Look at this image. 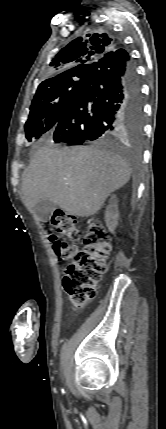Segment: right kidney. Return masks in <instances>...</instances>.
Listing matches in <instances>:
<instances>
[{
	"mask_svg": "<svg viewBox=\"0 0 166 429\" xmlns=\"http://www.w3.org/2000/svg\"><path fill=\"white\" fill-rule=\"evenodd\" d=\"M118 220L119 210L117 205V197L115 194H113L109 200V205L105 211L106 226L111 233H114V230L118 225Z\"/></svg>",
	"mask_w": 166,
	"mask_h": 429,
	"instance_id": "ca27d5eb",
	"label": "right kidney"
}]
</instances>
